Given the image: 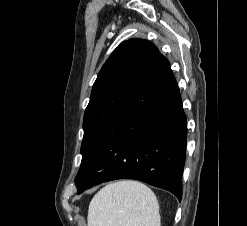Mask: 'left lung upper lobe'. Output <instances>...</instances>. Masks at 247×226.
Instances as JSON below:
<instances>
[{
  "mask_svg": "<svg viewBox=\"0 0 247 226\" xmlns=\"http://www.w3.org/2000/svg\"><path fill=\"white\" fill-rule=\"evenodd\" d=\"M159 55L151 42L130 39L121 43L107 59L93 85L84 113L81 167L101 134L126 104ZM78 182L76 176L75 183Z\"/></svg>",
  "mask_w": 247,
  "mask_h": 226,
  "instance_id": "left-lung-upper-lobe-1",
  "label": "left lung upper lobe"
}]
</instances>
